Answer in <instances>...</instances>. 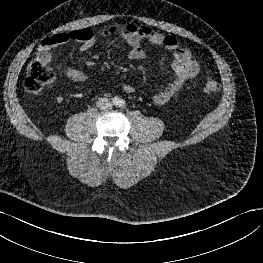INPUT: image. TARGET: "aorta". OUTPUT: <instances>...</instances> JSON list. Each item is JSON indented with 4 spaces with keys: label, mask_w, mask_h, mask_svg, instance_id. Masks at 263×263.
Listing matches in <instances>:
<instances>
[{
    "label": "aorta",
    "mask_w": 263,
    "mask_h": 263,
    "mask_svg": "<svg viewBox=\"0 0 263 263\" xmlns=\"http://www.w3.org/2000/svg\"><path fill=\"white\" fill-rule=\"evenodd\" d=\"M116 105H119V106H121V105H123L124 104V101L123 100H120V99H118L117 101H116V103H115Z\"/></svg>",
    "instance_id": "1"
}]
</instances>
